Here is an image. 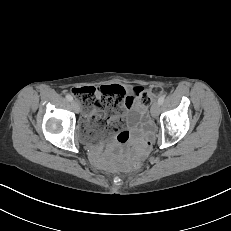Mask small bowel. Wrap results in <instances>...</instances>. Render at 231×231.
Listing matches in <instances>:
<instances>
[{"label":"small bowel","instance_id":"obj_1","mask_svg":"<svg viewBox=\"0 0 231 231\" xmlns=\"http://www.w3.org/2000/svg\"><path fill=\"white\" fill-rule=\"evenodd\" d=\"M127 99H128V93H126V101H125V106L128 108L127 106ZM129 109V108H128ZM130 112V115H129V123H130V129L132 130V132H134L136 134V142L139 144L140 146V151L141 153H144L148 147H149V143L147 140H144L143 139V135L141 134L140 132V129L139 127L137 126V114ZM105 111L103 110H97L95 111L94 113H92L90 115V117H103L105 116ZM95 126V125H94ZM96 127V126H95ZM105 139V142H108L107 143V146L109 148H113L115 147L118 143H123L125 141H114L113 138H114V135H112L111 133H107L104 137ZM103 147H104V144H100L98 146H96L93 150V154L96 158H100L101 154H102V151H103Z\"/></svg>","mask_w":231,"mask_h":231}]
</instances>
